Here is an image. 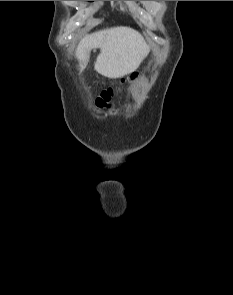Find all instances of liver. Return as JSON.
<instances>
[{"label": "liver", "mask_w": 233, "mask_h": 295, "mask_svg": "<svg viewBox=\"0 0 233 295\" xmlns=\"http://www.w3.org/2000/svg\"><path fill=\"white\" fill-rule=\"evenodd\" d=\"M100 49L94 69L108 78H119L135 71L148 52L143 37L129 27H113L84 36L76 49L79 70L88 64L91 50Z\"/></svg>", "instance_id": "liver-1"}]
</instances>
